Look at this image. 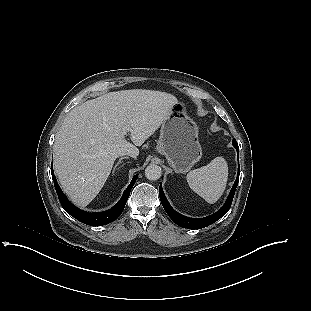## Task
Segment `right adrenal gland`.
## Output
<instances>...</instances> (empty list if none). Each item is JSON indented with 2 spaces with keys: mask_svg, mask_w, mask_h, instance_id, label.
<instances>
[{
  "mask_svg": "<svg viewBox=\"0 0 311 311\" xmlns=\"http://www.w3.org/2000/svg\"><path fill=\"white\" fill-rule=\"evenodd\" d=\"M125 158H127V157H122V158L119 159V161H118V162L116 163V165L114 166L112 173H114V171H115L116 168L119 166V164L121 163V161H122L123 159H125Z\"/></svg>",
  "mask_w": 311,
  "mask_h": 311,
  "instance_id": "1",
  "label": "right adrenal gland"
}]
</instances>
